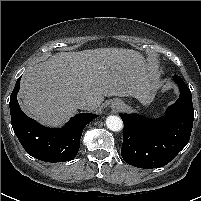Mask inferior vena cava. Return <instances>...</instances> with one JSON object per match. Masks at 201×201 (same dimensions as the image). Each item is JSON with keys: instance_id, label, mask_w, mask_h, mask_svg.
<instances>
[{"instance_id": "1", "label": "inferior vena cava", "mask_w": 201, "mask_h": 201, "mask_svg": "<svg viewBox=\"0 0 201 201\" xmlns=\"http://www.w3.org/2000/svg\"><path fill=\"white\" fill-rule=\"evenodd\" d=\"M76 106L78 109H82V110H93L94 108L97 107V103L93 100L83 99V100H78L76 102Z\"/></svg>"}]
</instances>
